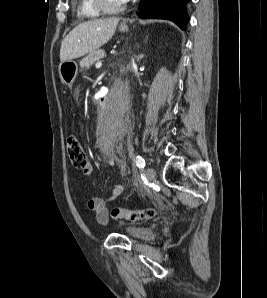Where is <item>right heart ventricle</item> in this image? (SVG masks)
Instances as JSON below:
<instances>
[{"instance_id":"right-heart-ventricle-1","label":"right heart ventricle","mask_w":267,"mask_h":298,"mask_svg":"<svg viewBox=\"0 0 267 298\" xmlns=\"http://www.w3.org/2000/svg\"><path fill=\"white\" fill-rule=\"evenodd\" d=\"M77 15L82 19H97L102 13L97 9L94 0H79L77 6Z\"/></svg>"}]
</instances>
